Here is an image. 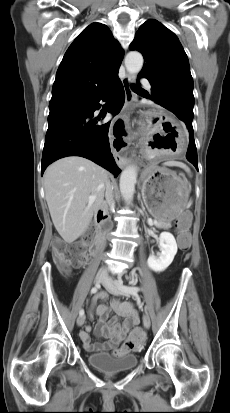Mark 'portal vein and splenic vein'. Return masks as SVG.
Wrapping results in <instances>:
<instances>
[{"label":"portal vein and splenic vein","instance_id":"obj_1","mask_svg":"<svg viewBox=\"0 0 230 413\" xmlns=\"http://www.w3.org/2000/svg\"><path fill=\"white\" fill-rule=\"evenodd\" d=\"M94 199H95L94 195L89 197V200H94ZM150 222L152 223V220H150Z\"/></svg>","mask_w":230,"mask_h":413}]
</instances>
